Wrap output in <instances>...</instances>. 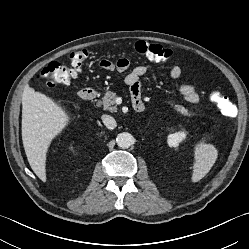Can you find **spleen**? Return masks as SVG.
Masks as SVG:
<instances>
[{"instance_id": "3e777b00", "label": "spleen", "mask_w": 249, "mask_h": 249, "mask_svg": "<svg viewBox=\"0 0 249 249\" xmlns=\"http://www.w3.org/2000/svg\"><path fill=\"white\" fill-rule=\"evenodd\" d=\"M218 157V151L213 144L200 142L194 149V165L192 182L200 181L212 168Z\"/></svg>"}]
</instances>
